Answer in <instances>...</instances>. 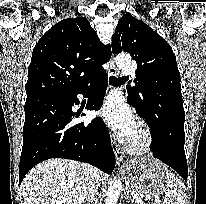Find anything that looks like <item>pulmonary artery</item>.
<instances>
[{
    "label": "pulmonary artery",
    "instance_id": "pulmonary-artery-1",
    "mask_svg": "<svg viewBox=\"0 0 206 204\" xmlns=\"http://www.w3.org/2000/svg\"><path fill=\"white\" fill-rule=\"evenodd\" d=\"M134 71V68H130L129 70L125 71L124 74L127 75V74H130Z\"/></svg>",
    "mask_w": 206,
    "mask_h": 204
}]
</instances>
